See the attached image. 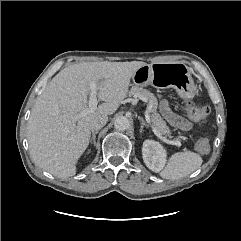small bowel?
<instances>
[{
  "mask_svg": "<svg viewBox=\"0 0 241 241\" xmlns=\"http://www.w3.org/2000/svg\"><path fill=\"white\" fill-rule=\"evenodd\" d=\"M160 112L171 125L183 131H187L191 128V123L188 120L175 114L171 110L170 105L166 100L160 101Z\"/></svg>",
  "mask_w": 241,
  "mask_h": 241,
  "instance_id": "c3829d8e",
  "label": "small bowel"
}]
</instances>
